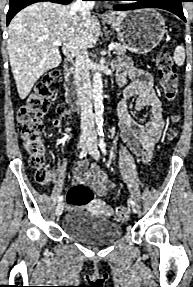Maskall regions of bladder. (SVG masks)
Listing matches in <instances>:
<instances>
[{"label": "bladder", "instance_id": "obj_1", "mask_svg": "<svg viewBox=\"0 0 193 287\" xmlns=\"http://www.w3.org/2000/svg\"><path fill=\"white\" fill-rule=\"evenodd\" d=\"M62 230L72 238L91 246L112 243L123 234L121 226L114 221L85 210L67 213L63 218Z\"/></svg>", "mask_w": 193, "mask_h": 287}]
</instances>
